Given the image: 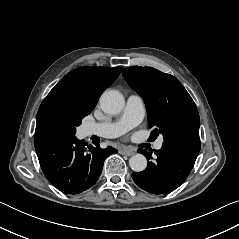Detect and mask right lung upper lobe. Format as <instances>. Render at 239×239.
Wrapping results in <instances>:
<instances>
[{
    "instance_id": "right-lung-upper-lobe-1",
    "label": "right lung upper lobe",
    "mask_w": 239,
    "mask_h": 239,
    "mask_svg": "<svg viewBox=\"0 0 239 239\" xmlns=\"http://www.w3.org/2000/svg\"><path fill=\"white\" fill-rule=\"evenodd\" d=\"M120 67H81L65 75L50 91L63 93L94 109L102 92L118 77Z\"/></svg>"
}]
</instances>
